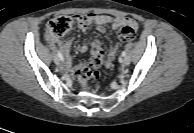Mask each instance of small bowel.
Returning <instances> with one entry per match:
<instances>
[{
  "mask_svg": "<svg viewBox=\"0 0 194 133\" xmlns=\"http://www.w3.org/2000/svg\"><path fill=\"white\" fill-rule=\"evenodd\" d=\"M74 19L82 30H87L91 24H95V27L99 32H105L107 25H110L113 29L132 27L135 31L138 27L137 22L135 20L127 17H111L108 15L88 13L76 15L74 16ZM47 39L59 45L65 57V70L69 71L71 67L69 56L71 42L68 40H58L49 35H47ZM94 46H100V42L98 40H94L91 44V47ZM118 49V45H114L109 48L105 63L107 67H110L112 65V62L114 61L118 53ZM87 50V45L83 44L80 46L81 52H86Z\"/></svg>",
  "mask_w": 194,
  "mask_h": 133,
  "instance_id": "obj_1",
  "label": "small bowel"
}]
</instances>
